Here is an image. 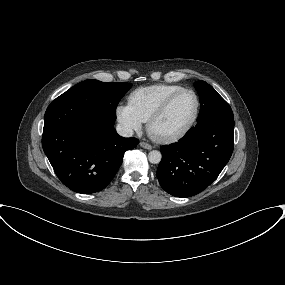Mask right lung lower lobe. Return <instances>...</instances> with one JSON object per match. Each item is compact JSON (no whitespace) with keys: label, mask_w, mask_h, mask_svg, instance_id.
Here are the masks:
<instances>
[{"label":"right lung lower lobe","mask_w":285,"mask_h":285,"mask_svg":"<svg viewBox=\"0 0 285 285\" xmlns=\"http://www.w3.org/2000/svg\"><path fill=\"white\" fill-rule=\"evenodd\" d=\"M115 119L77 103L55 99L47 108L42 146L59 180L90 194L104 189L137 146L136 138L117 134Z\"/></svg>","instance_id":"right-lung-lower-lobe-1"}]
</instances>
